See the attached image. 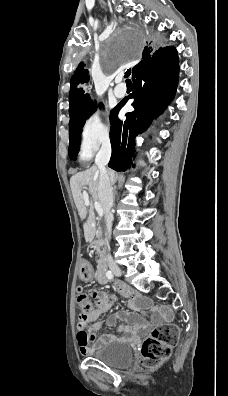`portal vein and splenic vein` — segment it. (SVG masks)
<instances>
[{
	"mask_svg": "<svg viewBox=\"0 0 228 396\" xmlns=\"http://www.w3.org/2000/svg\"><path fill=\"white\" fill-rule=\"evenodd\" d=\"M83 196H84V199H86V201H88V193H87V191H83ZM94 207H95L98 215L101 217L102 214H103V210H102V207H101L100 203L95 201Z\"/></svg>",
	"mask_w": 228,
	"mask_h": 396,
	"instance_id": "1",
	"label": "portal vein and splenic vein"
}]
</instances>
